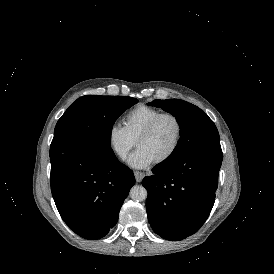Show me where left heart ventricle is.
I'll use <instances>...</instances> for the list:
<instances>
[{
  "instance_id": "b2bd125f",
  "label": "left heart ventricle",
  "mask_w": 274,
  "mask_h": 274,
  "mask_svg": "<svg viewBox=\"0 0 274 274\" xmlns=\"http://www.w3.org/2000/svg\"><path fill=\"white\" fill-rule=\"evenodd\" d=\"M177 133V126L172 118L162 119L153 132L142 138L137 147L143 148L152 161L163 158L172 148Z\"/></svg>"
}]
</instances>
